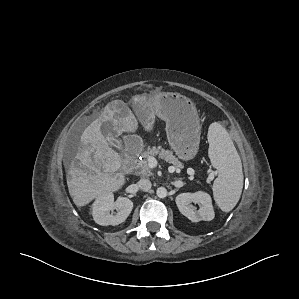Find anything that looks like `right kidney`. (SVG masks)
Segmentation results:
<instances>
[{
  "label": "right kidney",
  "instance_id": "1",
  "mask_svg": "<svg viewBox=\"0 0 299 299\" xmlns=\"http://www.w3.org/2000/svg\"><path fill=\"white\" fill-rule=\"evenodd\" d=\"M116 209L117 212H113ZM133 209V202L126 197L114 201V195L107 193L95 200L92 205L94 221L102 226L119 225L123 223Z\"/></svg>",
  "mask_w": 299,
  "mask_h": 299
}]
</instances>
